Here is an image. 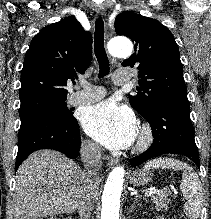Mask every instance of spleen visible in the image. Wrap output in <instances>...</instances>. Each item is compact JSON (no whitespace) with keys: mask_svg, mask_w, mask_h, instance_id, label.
<instances>
[{"mask_svg":"<svg viewBox=\"0 0 211 219\" xmlns=\"http://www.w3.org/2000/svg\"><path fill=\"white\" fill-rule=\"evenodd\" d=\"M144 168H169L183 171L180 189L186 200L184 212L190 219H197L200 216L203 203V191L201 182L192 167L173 158H158L147 162Z\"/></svg>","mask_w":211,"mask_h":219,"instance_id":"obj_1","label":"spleen"}]
</instances>
